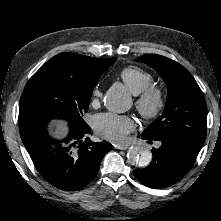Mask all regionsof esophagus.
Returning a JSON list of instances; mask_svg holds the SVG:
<instances>
[{"mask_svg":"<svg viewBox=\"0 0 221 221\" xmlns=\"http://www.w3.org/2000/svg\"><path fill=\"white\" fill-rule=\"evenodd\" d=\"M115 148L119 150H126L129 148V145H115Z\"/></svg>","mask_w":221,"mask_h":221,"instance_id":"1","label":"esophagus"}]
</instances>
